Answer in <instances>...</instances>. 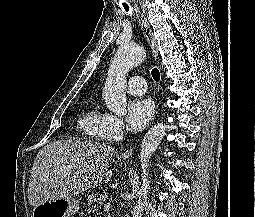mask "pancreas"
Listing matches in <instances>:
<instances>
[{
	"instance_id": "obj_1",
	"label": "pancreas",
	"mask_w": 255,
	"mask_h": 217,
	"mask_svg": "<svg viewBox=\"0 0 255 217\" xmlns=\"http://www.w3.org/2000/svg\"><path fill=\"white\" fill-rule=\"evenodd\" d=\"M101 195L98 191L92 192L90 195L87 196L86 203L90 207L95 208L97 204H101Z\"/></svg>"
}]
</instances>
